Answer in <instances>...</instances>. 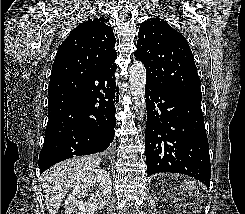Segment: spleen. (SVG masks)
<instances>
[{
    "mask_svg": "<svg viewBox=\"0 0 245 214\" xmlns=\"http://www.w3.org/2000/svg\"><path fill=\"white\" fill-rule=\"evenodd\" d=\"M186 188L190 189H196V186L194 185L193 181H184Z\"/></svg>",
    "mask_w": 245,
    "mask_h": 214,
    "instance_id": "1",
    "label": "spleen"
}]
</instances>
